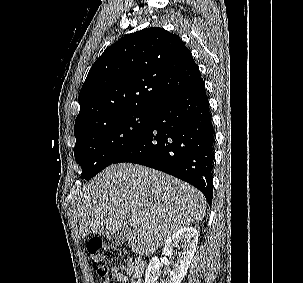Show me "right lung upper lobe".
Wrapping results in <instances>:
<instances>
[{
  "instance_id": "cb5924a9",
  "label": "right lung upper lobe",
  "mask_w": 303,
  "mask_h": 283,
  "mask_svg": "<svg viewBox=\"0 0 303 283\" xmlns=\"http://www.w3.org/2000/svg\"><path fill=\"white\" fill-rule=\"evenodd\" d=\"M201 79L179 36L159 27L129 34L91 67L79 94L74 132L123 113L153 111Z\"/></svg>"
}]
</instances>
